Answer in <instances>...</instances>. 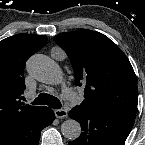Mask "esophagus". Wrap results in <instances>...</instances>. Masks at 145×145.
<instances>
[{
	"label": "esophagus",
	"instance_id": "34e87169",
	"mask_svg": "<svg viewBox=\"0 0 145 145\" xmlns=\"http://www.w3.org/2000/svg\"><path fill=\"white\" fill-rule=\"evenodd\" d=\"M54 113L57 118H66L68 116V112L64 109L55 110Z\"/></svg>",
	"mask_w": 145,
	"mask_h": 145
}]
</instances>
